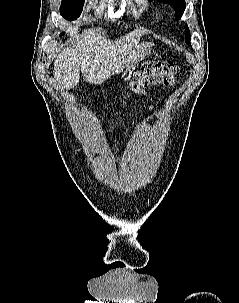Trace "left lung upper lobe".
<instances>
[{
  "label": "left lung upper lobe",
  "mask_w": 239,
  "mask_h": 303,
  "mask_svg": "<svg viewBox=\"0 0 239 303\" xmlns=\"http://www.w3.org/2000/svg\"><path fill=\"white\" fill-rule=\"evenodd\" d=\"M160 2H166L168 4H170L174 10L176 11L175 12V18L176 19H180L181 16L183 15V12L185 10V7H186V3H185V0H159ZM190 31H189V28L186 26L185 28V42L191 46L190 44Z\"/></svg>",
  "instance_id": "left-lung-upper-lobe-1"
}]
</instances>
